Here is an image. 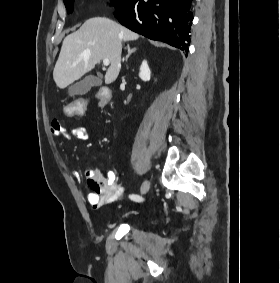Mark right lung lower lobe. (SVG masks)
Returning <instances> with one entry per match:
<instances>
[{"label": "right lung lower lobe", "instance_id": "1", "mask_svg": "<svg viewBox=\"0 0 280 283\" xmlns=\"http://www.w3.org/2000/svg\"><path fill=\"white\" fill-rule=\"evenodd\" d=\"M193 0H127L114 12L118 21L149 39L168 43L187 55Z\"/></svg>", "mask_w": 280, "mask_h": 283}]
</instances>
